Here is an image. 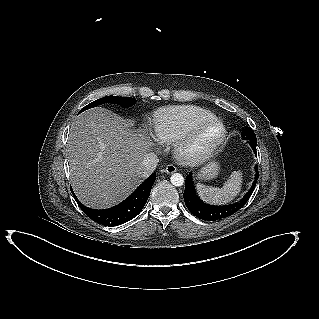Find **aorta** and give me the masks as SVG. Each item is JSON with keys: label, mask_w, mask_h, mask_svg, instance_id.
I'll use <instances>...</instances> for the list:
<instances>
[{"label": "aorta", "mask_w": 319, "mask_h": 319, "mask_svg": "<svg viewBox=\"0 0 319 319\" xmlns=\"http://www.w3.org/2000/svg\"><path fill=\"white\" fill-rule=\"evenodd\" d=\"M170 181L174 186H182L184 184V177L180 173H174L171 175Z\"/></svg>", "instance_id": "aorta-1"}]
</instances>
